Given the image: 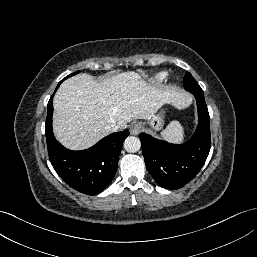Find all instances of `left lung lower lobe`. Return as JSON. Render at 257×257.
<instances>
[{"label":"left lung lower lobe","mask_w":257,"mask_h":257,"mask_svg":"<svg viewBox=\"0 0 257 257\" xmlns=\"http://www.w3.org/2000/svg\"><path fill=\"white\" fill-rule=\"evenodd\" d=\"M199 123L190 140L175 145L140 133L146 167L163 188L179 189L190 182L203 167L211 147L210 117L204 94H194Z\"/></svg>","instance_id":"obj_1"}]
</instances>
